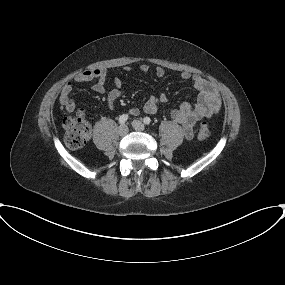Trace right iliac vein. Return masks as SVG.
Here are the masks:
<instances>
[{"mask_svg":"<svg viewBox=\"0 0 285 285\" xmlns=\"http://www.w3.org/2000/svg\"><path fill=\"white\" fill-rule=\"evenodd\" d=\"M118 133L120 136H125L128 133V127L126 125H120Z\"/></svg>","mask_w":285,"mask_h":285,"instance_id":"1","label":"right iliac vein"}]
</instances>
